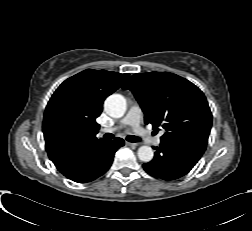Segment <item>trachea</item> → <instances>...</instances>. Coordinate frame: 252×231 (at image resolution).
I'll return each instance as SVG.
<instances>
[{"mask_svg":"<svg viewBox=\"0 0 252 231\" xmlns=\"http://www.w3.org/2000/svg\"><path fill=\"white\" fill-rule=\"evenodd\" d=\"M103 138L105 140H111V139L114 138V135L111 134V133H106V134L103 135ZM126 140L129 141V142H140L141 141V139L139 137L134 136V135H128L126 137Z\"/></svg>","mask_w":252,"mask_h":231,"instance_id":"3493384b","label":"trachea"}]
</instances>
